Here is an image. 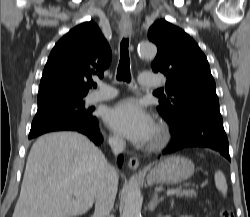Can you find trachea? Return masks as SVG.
Instances as JSON below:
<instances>
[{
  "instance_id": "trachea-1",
  "label": "trachea",
  "mask_w": 250,
  "mask_h": 217,
  "mask_svg": "<svg viewBox=\"0 0 250 217\" xmlns=\"http://www.w3.org/2000/svg\"><path fill=\"white\" fill-rule=\"evenodd\" d=\"M129 40L123 38L120 43V61L117 69V79L123 80L126 82L131 81L130 75V57H129ZM94 87H97V84H93Z\"/></svg>"
}]
</instances>
